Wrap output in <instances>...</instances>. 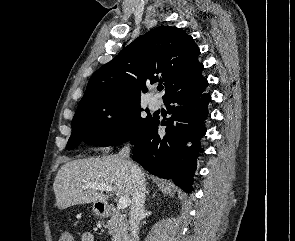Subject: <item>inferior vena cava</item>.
I'll return each instance as SVG.
<instances>
[{"label": "inferior vena cava", "instance_id": "obj_1", "mask_svg": "<svg viewBox=\"0 0 295 241\" xmlns=\"http://www.w3.org/2000/svg\"><path fill=\"white\" fill-rule=\"evenodd\" d=\"M130 148L129 146L123 147L119 152V157L127 162V165L130 169V176L133 183V194H132V203L131 210L129 214V224L131 236L134 239L137 237L139 224L141 217L144 213V203H145V177L142 170L135 164L130 161Z\"/></svg>", "mask_w": 295, "mask_h": 241}]
</instances>
